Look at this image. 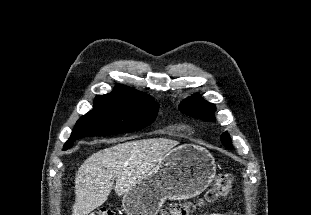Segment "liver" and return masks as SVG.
<instances>
[{
    "instance_id": "1",
    "label": "liver",
    "mask_w": 311,
    "mask_h": 215,
    "mask_svg": "<svg viewBox=\"0 0 311 215\" xmlns=\"http://www.w3.org/2000/svg\"><path fill=\"white\" fill-rule=\"evenodd\" d=\"M178 144L167 138L141 139L122 142L92 154L76 173L72 215H87L102 206L113 187L118 196L129 192Z\"/></svg>"
}]
</instances>
